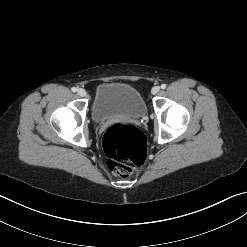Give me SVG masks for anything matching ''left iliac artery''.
<instances>
[{
	"mask_svg": "<svg viewBox=\"0 0 247 247\" xmlns=\"http://www.w3.org/2000/svg\"><path fill=\"white\" fill-rule=\"evenodd\" d=\"M161 88H162V89H165V88H166V84H162V85H161Z\"/></svg>",
	"mask_w": 247,
	"mask_h": 247,
	"instance_id": "obj_1",
	"label": "left iliac artery"
}]
</instances>
